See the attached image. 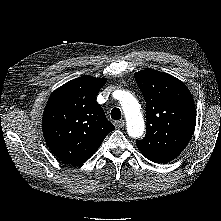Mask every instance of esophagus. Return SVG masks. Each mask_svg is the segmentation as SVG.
I'll use <instances>...</instances> for the list:
<instances>
[{
  "instance_id": "obj_1",
  "label": "esophagus",
  "mask_w": 221,
  "mask_h": 221,
  "mask_svg": "<svg viewBox=\"0 0 221 221\" xmlns=\"http://www.w3.org/2000/svg\"><path fill=\"white\" fill-rule=\"evenodd\" d=\"M114 125L116 128H122L125 125V121L124 120H117L114 122Z\"/></svg>"
}]
</instances>
